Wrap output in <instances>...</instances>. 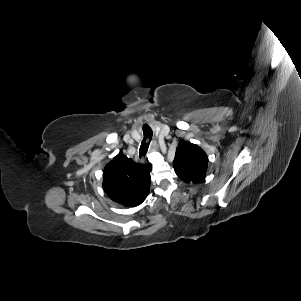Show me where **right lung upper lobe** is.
<instances>
[{"instance_id":"obj_1","label":"right lung upper lobe","mask_w":301,"mask_h":301,"mask_svg":"<svg viewBox=\"0 0 301 301\" xmlns=\"http://www.w3.org/2000/svg\"><path fill=\"white\" fill-rule=\"evenodd\" d=\"M150 171V164L136 163L118 154L104 169V191L114 202L127 207L138 206L149 193Z\"/></svg>"}]
</instances>
